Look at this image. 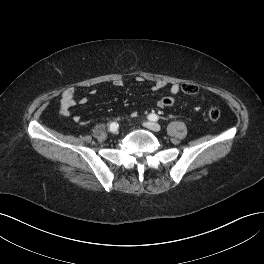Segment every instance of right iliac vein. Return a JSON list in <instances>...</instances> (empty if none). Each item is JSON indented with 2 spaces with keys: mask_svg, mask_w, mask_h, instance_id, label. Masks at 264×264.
Returning <instances> with one entry per match:
<instances>
[{
  "mask_svg": "<svg viewBox=\"0 0 264 264\" xmlns=\"http://www.w3.org/2000/svg\"><path fill=\"white\" fill-rule=\"evenodd\" d=\"M112 134H118V129L111 130Z\"/></svg>",
  "mask_w": 264,
  "mask_h": 264,
  "instance_id": "1",
  "label": "right iliac vein"
}]
</instances>
